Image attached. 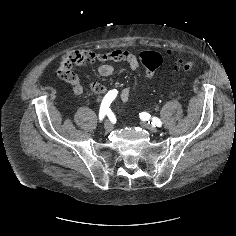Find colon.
<instances>
[{
	"label": "colon",
	"mask_w": 236,
	"mask_h": 236,
	"mask_svg": "<svg viewBox=\"0 0 236 236\" xmlns=\"http://www.w3.org/2000/svg\"><path fill=\"white\" fill-rule=\"evenodd\" d=\"M140 61L146 69L147 76L151 77L154 72L162 65L163 57L160 53L153 50H144L139 55ZM196 66V63L191 60L178 59L176 67L183 71H191ZM71 67L69 61H62L58 73L63 78L66 72Z\"/></svg>",
	"instance_id": "obj_1"
}]
</instances>
